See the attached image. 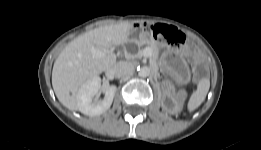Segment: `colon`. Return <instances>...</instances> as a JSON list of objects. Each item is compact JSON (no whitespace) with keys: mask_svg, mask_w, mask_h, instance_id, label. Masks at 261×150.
<instances>
[{"mask_svg":"<svg viewBox=\"0 0 261 150\" xmlns=\"http://www.w3.org/2000/svg\"><path fill=\"white\" fill-rule=\"evenodd\" d=\"M150 29L154 37L162 43L168 44L172 47H178L185 42V36L174 29L173 27L166 25H155L152 27H145Z\"/></svg>","mask_w":261,"mask_h":150,"instance_id":"colon-1","label":"colon"}]
</instances>
